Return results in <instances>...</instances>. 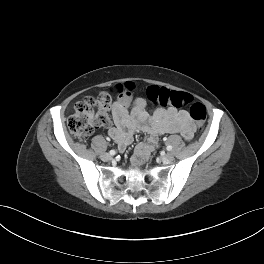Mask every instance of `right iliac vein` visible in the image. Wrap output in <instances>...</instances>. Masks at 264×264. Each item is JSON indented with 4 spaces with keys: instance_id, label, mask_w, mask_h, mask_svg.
Instances as JSON below:
<instances>
[{
    "instance_id": "obj_1",
    "label": "right iliac vein",
    "mask_w": 264,
    "mask_h": 264,
    "mask_svg": "<svg viewBox=\"0 0 264 264\" xmlns=\"http://www.w3.org/2000/svg\"><path fill=\"white\" fill-rule=\"evenodd\" d=\"M101 158H102V160H104V161H109V160L112 159V156H111L110 154H108V153H103V154L101 155Z\"/></svg>"
}]
</instances>
